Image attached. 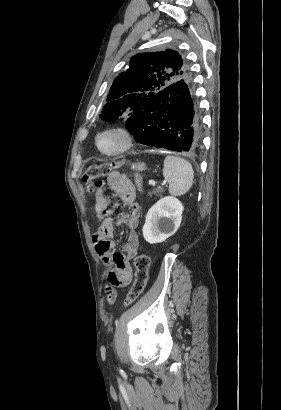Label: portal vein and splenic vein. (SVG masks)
Masks as SVG:
<instances>
[{
	"mask_svg": "<svg viewBox=\"0 0 281 410\" xmlns=\"http://www.w3.org/2000/svg\"><path fill=\"white\" fill-rule=\"evenodd\" d=\"M149 184L155 186L156 182L154 180H149Z\"/></svg>",
	"mask_w": 281,
	"mask_h": 410,
	"instance_id": "18ae733b",
	"label": "portal vein and splenic vein"
}]
</instances>
